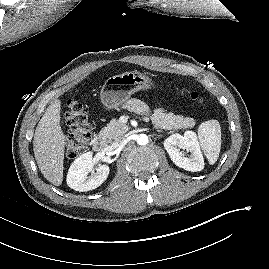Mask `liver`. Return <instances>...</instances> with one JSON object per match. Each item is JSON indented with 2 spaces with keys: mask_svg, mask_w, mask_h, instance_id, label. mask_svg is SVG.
Returning <instances> with one entry per match:
<instances>
[{
  "mask_svg": "<svg viewBox=\"0 0 269 269\" xmlns=\"http://www.w3.org/2000/svg\"><path fill=\"white\" fill-rule=\"evenodd\" d=\"M61 101H53L40 119L34 134L33 150L43 176L53 185L63 181L65 135L60 126Z\"/></svg>",
  "mask_w": 269,
  "mask_h": 269,
  "instance_id": "obj_1",
  "label": "liver"
}]
</instances>
